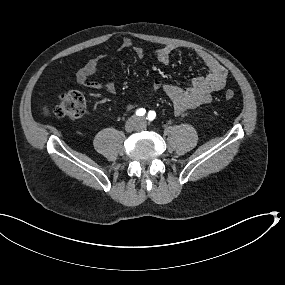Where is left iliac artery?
<instances>
[{"label": "left iliac artery", "instance_id": "1", "mask_svg": "<svg viewBox=\"0 0 285 285\" xmlns=\"http://www.w3.org/2000/svg\"><path fill=\"white\" fill-rule=\"evenodd\" d=\"M155 117H156V113H155V111H149V113H148V120H150V121H152V120H154L155 119Z\"/></svg>", "mask_w": 285, "mask_h": 285}]
</instances>
